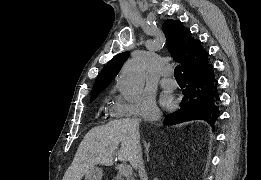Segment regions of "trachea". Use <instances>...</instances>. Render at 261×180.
<instances>
[{
  "mask_svg": "<svg viewBox=\"0 0 261 180\" xmlns=\"http://www.w3.org/2000/svg\"><path fill=\"white\" fill-rule=\"evenodd\" d=\"M174 76L176 79H183V75H182V72H181V67L180 65H177V67H175L174 69Z\"/></svg>",
  "mask_w": 261,
  "mask_h": 180,
  "instance_id": "obj_1",
  "label": "trachea"
}]
</instances>
